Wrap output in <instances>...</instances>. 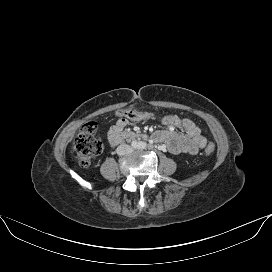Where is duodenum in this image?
<instances>
[{
	"label": "duodenum",
	"mask_w": 272,
	"mask_h": 272,
	"mask_svg": "<svg viewBox=\"0 0 272 272\" xmlns=\"http://www.w3.org/2000/svg\"><path fill=\"white\" fill-rule=\"evenodd\" d=\"M139 137H141V135L133 131H123V132L120 131L114 136L112 140V144L117 145L124 141H133Z\"/></svg>",
	"instance_id": "obj_1"
}]
</instances>
